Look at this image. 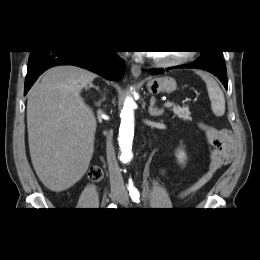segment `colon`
I'll list each match as a JSON object with an SVG mask.
<instances>
[{"instance_id": "5ec220e1", "label": "colon", "mask_w": 260, "mask_h": 260, "mask_svg": "<svg viewBox=\"0 0 260 260\" xmlns=\"http://www.w3.org/2000/svg\"><path fill=\"white\" fill-rule=\"evenodd\" d=\"M90 177L93 180H99L102 177V169L100 167H94L90 172Z\"/></svg>"}]
</instances>
